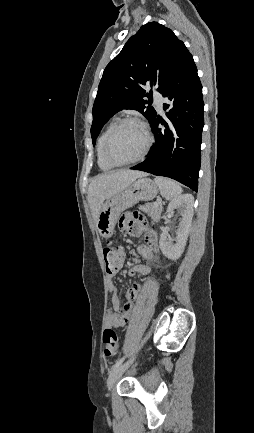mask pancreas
I'll list each match as a JSON object with an SVG mask.
<instances>
[{
  "mask_svg": "<svg viewBox=\"0 0 254 433\" xmlns=\"http://www.w3.org/2000/svg\"><path fill=\"white\" fill-rule=\"evenodd\" d=\"M139 209L148 214V216H150L153 220L157 221L160 219L163 207L162 204L156 206L155 203H146L145 205L139 206Z\"/></svg>",
  "mask_w": 254,
  "mask_h": 433,
  "instance_id": "cf45deb5",
  "label": "pancreas"
}]
</instances>
